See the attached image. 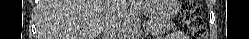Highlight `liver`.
I'll return each mask as SVG.
<instances>
[{"mask_svg":"<svg viewBox=\"0 0 249 39\" xmlns=\"http://www.w3.org/2000/svg\"><path fill=\"white\" fill-rule=\"evenodd\" d=\"M114 0H40L38 39H96L113 14L121 22L125 2Z\"/></svg>","mask_w":249,"mask_h":39,"instance_id":"6515ba94","label":"liver"}]
</instances>
